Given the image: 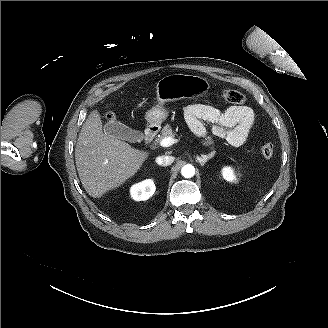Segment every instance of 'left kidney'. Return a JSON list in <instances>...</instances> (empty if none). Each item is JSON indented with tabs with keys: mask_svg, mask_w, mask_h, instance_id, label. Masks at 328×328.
Here are the masks:
<instances>
[{
	"mask_svg": "<svg viewBox=\"0 0 328 328\" xmlns=\"http://www.w3.org/2000/svg\"><path fill=\"white\" fill-rule=\"evenodd\" d=\"M223 177L228 181H231L234 179V176H233L230 168L223 169Z\"/></svg>",
	"mask_w": 328,
	"mask_h": 328,
	"instance_id": "obj_1",
	"label": "left kidney"
}]
</instances>
